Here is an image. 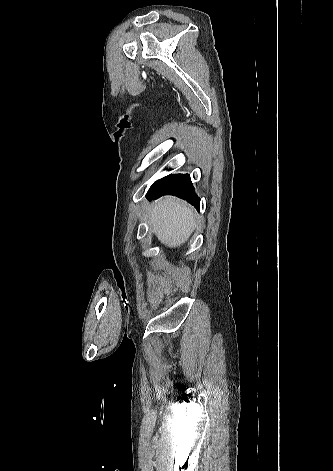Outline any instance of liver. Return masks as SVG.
Masks as SVG:
<instances>
[{"label":"liver","mask_w":333,"mask_h":471,"mask_svg":"<svg viewBox=\"0 0 333 471\" xmlns=\"http://www.w3.org/2000/svg\"><path fill=\"white\" fill-rule=\"evenodd\" d=\"M150 223L158 240L170 248L184 244L196 228L193 210L174 197H165L153 206Z\"/></svg>","instance_id":"6515ba94"}]
</instances>
